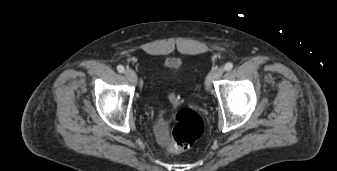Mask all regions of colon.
<instances>
[{"label":"colon","mask_w":337,"mask_h":171,"mask_svg":"<svg viewBox=\"0 0 337 171\" xmlns=\"http://www.w3.org/2000/svg\"><path fill=\"white\" fill-rule=\"evenodd\" d=\"M170 99L175 106L178 105L179 100L176 96L172 95ZM204 128V121L198 113L190 109L177 110L172 118L170 151L178 152L191 147L201 137Z\"/></svg>","instance_id":"colon-1"}]
</instances>
